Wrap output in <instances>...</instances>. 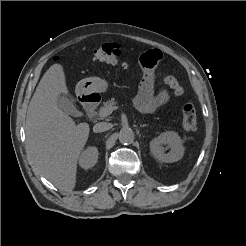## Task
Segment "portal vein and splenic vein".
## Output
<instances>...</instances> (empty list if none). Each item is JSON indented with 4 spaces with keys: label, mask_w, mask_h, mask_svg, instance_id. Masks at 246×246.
I'll use <instances>...</instances> for the list:
<instances>
[{
    "label": "portal vein and splenic vein",
    "mask_w": 246,
    "mask_h": 246,
    "mask_svg": "<svg viewBox=\"0 0 246 246\" xmlns=\"http://www.w3.org/2000/svg\"><path fill=\"white\" fill-rule=\"evenodd\" d=\"M116 109H118V106L103 108L99 111V116L102 118L106 117V116L110 115L113 112V110H116Z\"/></svg>",
    "instance_id": "1"
}]
</instances>
